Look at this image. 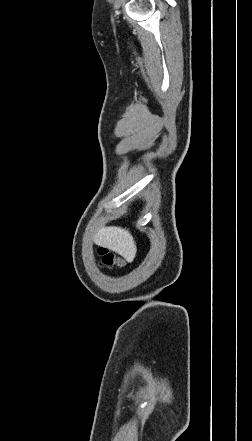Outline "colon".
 <instances>
[{
    "instance_id": "5ec220e1",
    "label": "colon",
    "mask_w": 252,
    "mask_h": 441,
    "mask_svg": "<svg viewBox=\"0 0 252 441\" xmlns=\"http://www.w3.org/2000/svg\"><path fill=\"white\" fill-rule=\"evenodd\" d=\"M98 254L101 257V266L114 268L123 265V260L106 248H99Z\"/></svg>"
}]
</instances>
